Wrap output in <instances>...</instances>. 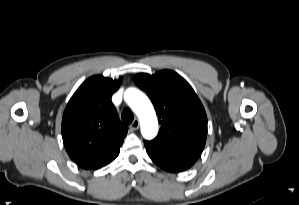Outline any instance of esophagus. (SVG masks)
<instances>
[{
  "label": "esophagus",
  "mask_w": 299,
  "mask_h": 205,
  "mask_svg": "<svg viewBox=\"0 0 299 205\" xmlns=\"http://www.w3.org/2000/svg\"><path fill=\"white\" fill-rule=\"evenodd\" d=\"M139 128V120L138 119H135L132 124L130 125V129L132 131H135Z\"/></svg>",
  "instance_id": "obj_1"
}]
</instances>
